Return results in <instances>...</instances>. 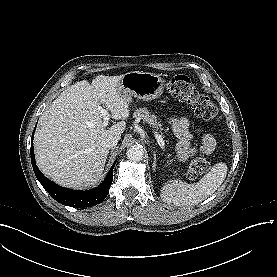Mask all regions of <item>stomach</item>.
Listing matches in <instances>:
<instances>
[{"instance_id": "1", "label": "stomach", "mask_w": 277, "mask_h": 277, "mask_svg": "<svg viewBox=\"0 0 277 277\" xmlns=\"http://www.w3.org/2000/svg\"><path fill=\"white\" fill-rule=\"evenodd\" d=\"M164 82L163 78L155 73L130 71L122 76L118 90L127 102H130L132 97L149 101L162 95Z\"/></svg>"}]
</instances>
